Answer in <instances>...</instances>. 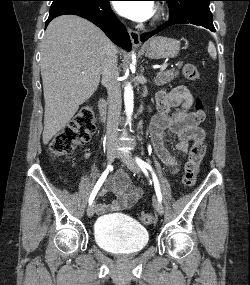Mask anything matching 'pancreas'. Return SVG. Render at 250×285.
<instances>
[{
  "mask_svg": "<svg viewBox=\"0 0 250 285\" xmlns=\"http://www.w3.org/2000/svg\"><path fill=\"white\" fill-rule=\"evenodd\" d=\"M179 74L178 70L172 69L167 71H160L157 73L154 83L156 85H164L174 80Z\"/></svg>",
  "mask_w": 250,
  "mask_h": 285,
  "instance_id": "pancreas-1",
  "label": "pancreas"
}]
</instances>
